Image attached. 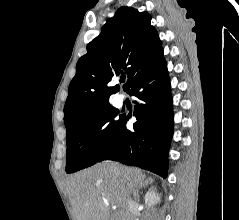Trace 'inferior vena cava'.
<instances>
[{
  "label": "inferior vena cava",
  "instance_id": "obj_1",
  "mask_svg": "<svg viewBox=\"0 0 239 220\" xmlns=\"http://www.w3.org/2000/svg\"><path fill=\"white\" fill-rule=\"evenodd\" d=\"M123 220H137L136 219V202L130 196H126V214Z\"/></svg>",
  "mask_w": 239,
  "mask_h": 220
}]
</instances>
